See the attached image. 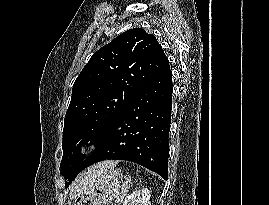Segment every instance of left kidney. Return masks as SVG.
Here are the masks:
<instances>
[{
    "label": "left kidney",
    "mask_w": 269,
    "mask_h": 205,
    "mask_svg": "<svg viewBox=\"0 0 269 205\" xmlns=\"http://www.w3.org/2000/svg\"><path fill=\"white\" fill-rule=\"evenodd\" d=\"M151 193L147 188L136 190L127 198H125L123 205H151Z\"/></svg>",
    "instance_id": "left-kidney-1"
}]
</instances>
